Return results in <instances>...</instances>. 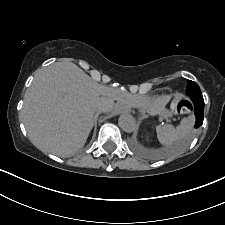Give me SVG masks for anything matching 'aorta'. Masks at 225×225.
Returning <instances> with one entry per match:
<instances>
[{
  "instance_id": "1",
  "label": "aorta",
  "mask_w": 225,
  "mask_h": 225,
  "mask_svg": "<svg viewBox=\"0 0 225 225\" xmlns=\"http://www.w3.org/2000/svg\"><path fill=\"white\" fill-rule=\"evenodd\" d=\"M119 127L126 133H132L136 130L135 119L130 114H122L118 119Z\"/></svg>"
}]
</instances>
